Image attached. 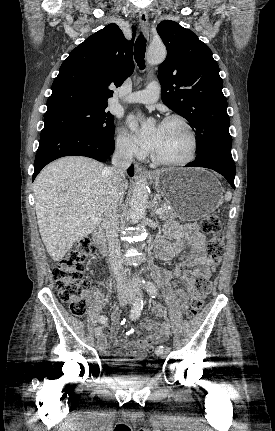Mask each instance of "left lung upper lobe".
Segmentation results:
<instances>
[{
    "mask_svg": "<svg viewBox=\"0 0 275 431\" xmlns=\"http://www.w3.org/2000/svg\"><path fill=\"white\" fill-rule=\"evenodd\" d=\"M167 48L158 69L162 101L187 119L196 134L197 156L231 149L230 120L219 66L191 30L165 20L157 26Z\"/></svg>",
    "mask_w": 275,
    "mask_h": 431,
    "instance_id": "left-lung-upper-lobe-1",
    "label": "left lung upper lobe"
}]
</instances>
